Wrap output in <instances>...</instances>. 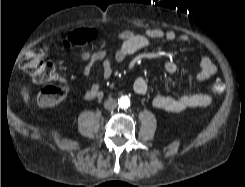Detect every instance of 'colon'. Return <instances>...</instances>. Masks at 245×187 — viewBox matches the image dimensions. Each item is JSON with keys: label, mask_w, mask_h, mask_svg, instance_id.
Instances as JSON below:
<instances>
[{"label": "colon", "mask_w": 245, "mask_h": 187, "mask_svg": "<svg viewBox=\"0 0 245 187\" xmlns=\"http://www.w3.org/2000/svg\"><path fill=\"white\" fill-rule=\"evenodd\" d=\"M88 42L85 30H75L65 40L66 46H80ZM41 49L31 50L21 61L20 67L34 82L47 84L39 94L38 102L42 107H53L61 103L69 92V84L61 69L51 61H45ZM213 95H220L225 90L222 82H215L210 87Z\"/></svg>", "instance_id": "colon-1"}]
</instances>
